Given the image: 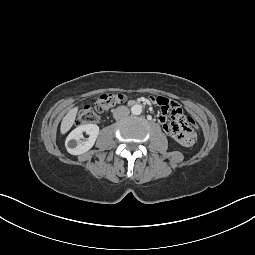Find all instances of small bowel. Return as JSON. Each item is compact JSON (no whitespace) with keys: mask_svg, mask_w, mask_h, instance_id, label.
Returning <instances> with one entry per match:
<instances>
[{"mask_svg":"<svg viewBox=\"0 0 255 255\" xmlns=\"http://www.w3.org/2000/svg\"><path fill=\"white\" fill-rule=\"evenodd\" d=\"M149 100L154 108L161 110L158 121L171 140H178L185 146H192L196 142L197 133L189 125L183 110L176 102L168 100L163 95L159 98L153 95Z\"/></svg>","mask_w":255,"mask_h":255,"instance_id":"c3829d8e","label":"small bowel"}]
</instances>
